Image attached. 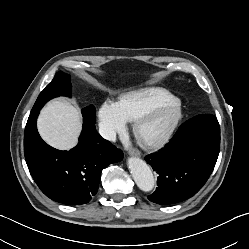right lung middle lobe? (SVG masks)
Listing matches in <instances>:
<instances>
[{
  "mask_svg": "<svg viewBox=\"0 0 249 249\" xmlns=\"http://www.w3.org/2000/svg\"><path fill=\"white\" fill-rule=\"evenodd\" d=\"M71 95V82L70 76L57 72L54 79L45 87L37 98L34 107L43 106L47 101L58 96H70ZM96 110L93 105L87 106L82 109L83 118L95 123L96 122Z\"/></svg>",
  "mask_w": 249,
  "mask_h": 249,
  "instance_id": "1",
  "label": "right lung middle lobe"
}]
</instances>
